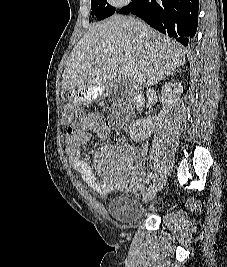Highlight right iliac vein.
Masks as SVG:
<instances>
[{"label":"right iliac vein","instance_id":"1","mask_svg":"<svg viewBox=\"0 0 227 267\" xmlns=\"http://www.w3.org/2000/svg\"><path fill=\"white\" fill-rule=\"evenodd\" d=\"M157 192V188L155 186H150V188L148 189V191L146 192L145 196H144V202H148L151 199H153L156 195Z\"/></svg>","mask_w":227,"mask_h":267}]
</instances>
